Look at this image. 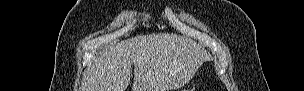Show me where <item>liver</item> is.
I'll list each match as a JSON object with an SVG mask.
<instances>
[{"label":"liver","mask_w":304,"mask_h":91,"mask_svg":"<svg viewBox=\"0 0 304 91\" xmlns=\"http://www.w3.org/2000/svg\"><path fill=\"white\" fill-rule=\"evenodd\" d=\"M208 58L202 44L169 33L121 41L95 58L81 91H125L134 64L133 91H171L187 84Z\"/></svg>","instance_id":"liver-1"}]
</instances>
